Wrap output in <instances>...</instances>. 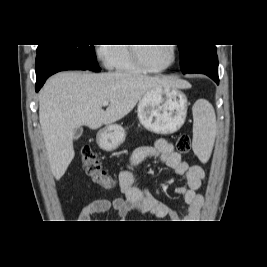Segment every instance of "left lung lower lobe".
Wrapping results in <instances>:
<instances>
[{"instance_id":"left-lung-lower-lobe-1","label":"left lung lower lobe","mask_w":267,"mask_h":267,"mask_svg":"<svg viewBox=\"0 0 267 267\" xmlns=\"http://www.w3.org/2000/svg\"><path fill=\"white\" fill-rule=\"evenodd\" d=\"M185 73H201L212 78L219 84L218 78V57L217 54H210L199 59Z\"/></svg>"}]
</instances>
